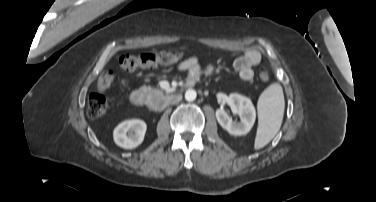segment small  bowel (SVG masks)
I'll return each mask as SVG.
<instances>
[{
  "label": "small bowel",
  "instance_id": "obj_1",
  "mask_svg": "<svg viewBox=\"0 0 376 202\" xmlns=\"http://www.w3.org/2000/svg\"><path fill=\"white\" fill-rule=\"evenodd\" d=\"M262 55L260 51L256 49H250L245 51L241 56H239L234 62V68L237 70L239 76L245 80L249 81L253 78L254 72L253 67L258 65L261 62ZM177 69L179 71H187V83L193 84L199 80V78L204 73L201 68L199 61L196 57H191L181 62ZM214 67L209 66L206 70V73H214Z\"/></svg>",
  "mask_w": 376,
  "mask_h": 202
}]
</instances>
